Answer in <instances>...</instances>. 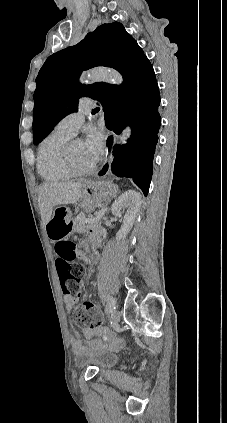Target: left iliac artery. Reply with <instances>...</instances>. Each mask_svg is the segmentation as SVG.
<instances>
[{"label":"left iliac artery","instance_id":"left-iliac-artery-1","mask_svg":"<svg viewBox=\"0 0 227 423\" xmlns=\"http://www.w3.org/2000/svg\"><path fill=\"white\" fill-rule=\"evenodd\" d=\"M115 300L113 297H108L106 301V314H110L115 309ZM112 305V306H111Z\"/></svg>","mask_w":227,"mask_h":423}]
</instances>
